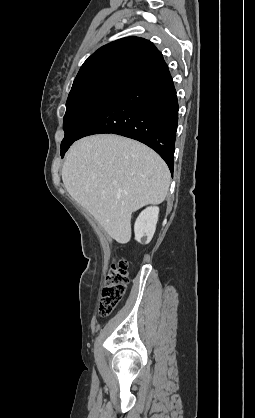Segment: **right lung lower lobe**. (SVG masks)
Segmentation results:
<instances>
[{"label":"right lung lower lobe","mask_w":255,"mask_h":418,"mask_svg":"<svg viewBox=\"0 0 255 418\" xmlns=\"http://www.w3.org/2000/svg\"><path fill=\"white\" fill-rule=\"evenodd\" d=\"M178 102L168 69L126 86L89 121L76 140L113 133L138 140L155 150L173 173ZM69 147L62 152L63 157Z\"/></svg>","instance_id":"98d812e1"}]
</instances>
